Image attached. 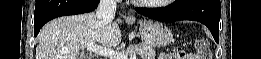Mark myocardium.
<instances>
[{
  "label": "myocardium",
  "instance_id": "1",
  "mask_svg": "<svg viewBox=\"0 0 261 59\" xmlns=\"http://www.w3.org/2000/svg\"><path fill=\"white\" fill-rule=\"evenodd\" d=\"M165 2H168V0L162 1V2H160V3H158V4H148V3H144V4H142V6H146V7L161 6V5H162L163 3H165Z\"/></svg>",
  "mask_w": 261,
  "mask_h": 59
}]
</instances>
